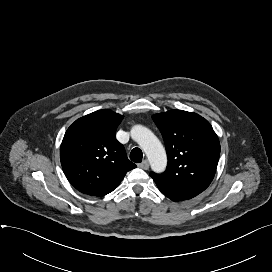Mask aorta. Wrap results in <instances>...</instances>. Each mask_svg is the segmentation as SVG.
Instances as JSON below:
<instances>
[{"mask_svg": "<svg viewBox=\"0 0 272 272\" xmlns=\"http://www.w3.org/2000/svg\"><path fill=\"white\" fill-rule=\"evenodd\" d=\"M131 137L144 150L152 170L158 173L163 172L167 165V156L159 139L142 125L132 127Z\"/></svg>", "mask_w": 272, "mask_h": 272, "instance_id": "1", "label": "aorta"}]
</instances>
